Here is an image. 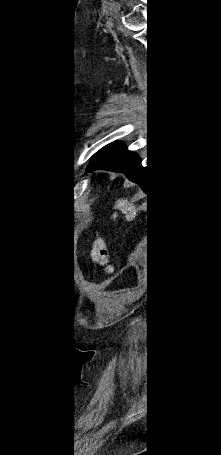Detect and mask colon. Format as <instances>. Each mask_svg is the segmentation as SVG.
Returning <instances> with one entry per match:
<instances>
[{
    "label": "colon",
    "mask_w": 221,
    "mask_h": 455,
    "mask_svg": "<svg viewBox=\"0 0 221 455\" xmlns=\"http://www.w3.org/2000/svg\"><path fill=\"white\" fill-rule=\"evenodd\" d=\"M90 258L94 264L106 270H110L109 255L102 237L97 236L95 238L90 250Z\"/></svg>",
    "instance_id": "1"
}]
</instances>
